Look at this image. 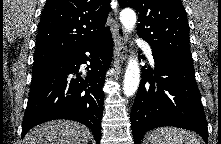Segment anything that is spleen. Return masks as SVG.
I'll list each match as a JSON object with an SVG mask.
<instances>
[{"instance_id":"3e777b00","label":"spleen","mask_w":221,"mask_h":144,"mask_svg":"<svg viewBox=\"0 0 221 144\" xmlns=\"http://www.w3.org/2000/svg\"><path fill=\"white\" fill-rule=\"evenodd\" d=\"M151 144H200L196 135L178 127L157 129L151 135Z\"/></svg>"}]
</instances>
